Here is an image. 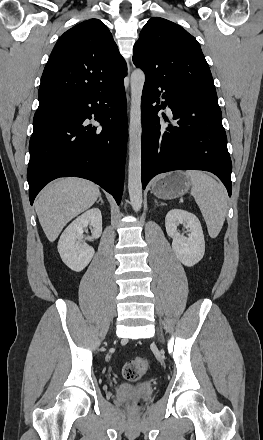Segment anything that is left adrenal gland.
<instances>
[{
  "instance_id": "left-adrenal-gland-1",
  "label": "left adrenal gland",
  "mask_w": 263,
  "mask_h": 440,
  "mask_svg": "<svg viewBox=\"0 0 263 440\" xmlns=\"http://www.w3.org/2000/svg\"><path fill=\"white\" fill-rule=\"evenodd\" d=\"M157 203V201H155ZM161 205H165L164 203H161Z\"/></svg>"
}]
</instances>
